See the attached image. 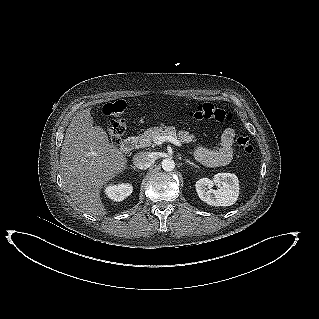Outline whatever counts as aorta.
<instances>
[{
	"label": "aorta",
	"mask_w": 319,
	"mask_h": 319,
	"mask_svg": "<svg viewBox=\"0 0 319 319\" xmlns=\"http://www.w3.org/2000/svg\"><path fill=\"white\" fill-rule=\"evenodd\" d=\"M162 168L165 170V171H172L174 170L175 168V162L174 160L172 159H164L162 161Z\"/></svg>",
	"instance_id": "obj_1"
}]
</instances>
